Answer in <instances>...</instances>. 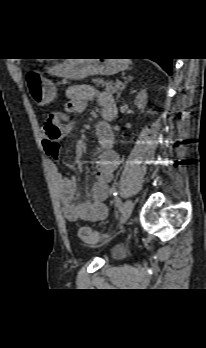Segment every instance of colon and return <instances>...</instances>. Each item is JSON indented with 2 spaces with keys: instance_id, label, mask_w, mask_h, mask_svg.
I'll return each instance as SVG.
<instances>
[{
  "instance_id": "colon-1",
  "label": "colon",
  "mask_w": 206,
  "mask_h": 348,
  "mask_svg": "<svg viewBox=\"0 0 206 348\" xmlns=\"http://www.w3.org/2000/svg\"><path fill=\"white\" fill-rule=\"evenodd\" d=\"M25 80L29 92L35 101L42 100L46 91L51 88V86L44 81L41 72L37 69L28 70ZM79 237L86 243L94 244L100 239L101 235L89 227H82L79 231Z\"/></svg>"
}]
</instances>
